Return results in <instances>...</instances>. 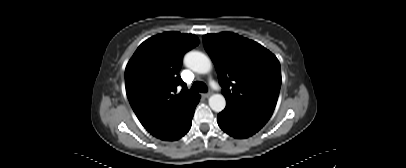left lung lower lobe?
<instances>
[{
	"label": "left lung lower lobe",
	"mask_w": 406,
	"mask_h": 168,
	"mask_svg": "<svg viewBox=\"0 0 406 168\" xmlns=\"http://www.w3.org/2000/svg\"><path fill=\"white\" fill-rule=\"evenodd\" d=\"M270 116L227 103L226 108L218 114L220 128L235 138H247L259 131Z\"/></svg>",
	"instance_id": "1"
}]
</instances>
